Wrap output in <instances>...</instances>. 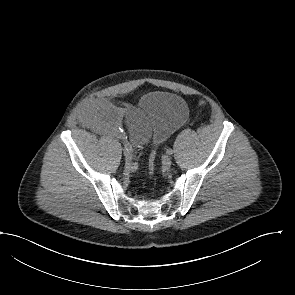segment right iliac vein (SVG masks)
Listing matches in <instances>:
<instances>
[{"instance_id": "63e3f726", "label": "right iliac vein", "mask_w": 295, "mask_h": 295, "mask_svg": "<svg viewBox=\"0 0 295 295\" xmlns=\"http://www.w3.org/2000/svg\"><path fill=\"white\" fill-rule=\"evenodd\" d=\"M124 156H125V161L126 163H131L132 162V153L130 151L124 150Z\"/></svg>"}]
</instances>
